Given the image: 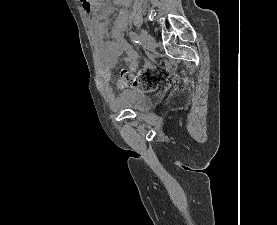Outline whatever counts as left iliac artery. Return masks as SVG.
Listing matches in <instances>:
<instances>
[{
  "instance_id": "1",
  "label": "left iliac artery",
  "mask_w": 277,
  "mask_h": 225,
  "mask_svg": "<svg viewBox=\"0 0 277 225\" xmlns=\"http://www.w3.org/2000/svg\"><path fill=\"white\" fill-rule=\"evenodd\" d=\"M129 36H130V38H131V40L133 41V42H135V43H139V37H138V35L136 34V32H134V31H130L129 32Z\"/></svg>"
}]
</instances>
